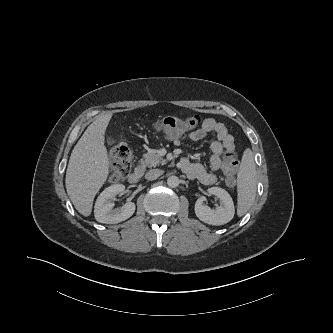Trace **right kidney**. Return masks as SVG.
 I'll list each match as a JSON object with an SVG mask.
<instances>
[{
    "label": "right kidney",
    "mask_w": 333,
    "mask_h": 333,
    "mask_svg": "<svg viewBox=\"0 0 333 333\" xmlns=\"http://www.w3.org/2000/svg\"><path fill=\"white\" fill-rule=\"evenodd\" d=\"M125 190L123 184H114L107 187L97 198L94 206L95 219L100 223L115 224L130 218L135 212L133 202L126 203L122 208L113 209L112 199Z\"/></svg>",
    "instance_id": "ca27d5eb"
}]
</instances>
